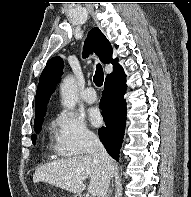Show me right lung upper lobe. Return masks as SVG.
<instances>
[{
	"instance_id": "cb5924a9",
	"label": "right lung upper lobe",
	"mask_w": 191,
	"mask_h": 197,
	"mask_svg": "<svg viewBox=\"0 0 191 197\" xmlns=\"http://www.w3.org/2000/svg\"><path fill=\"white\" fill-rule=\"evenodd\" d=\"M84 49L83 57H87L89 52H94L102 63H112L114 65L113 73L107 75L106 78L123 71L118 64V59L112 58V46L98 27L93 28L88 33ZM63 66V60L60 57H53L47 62L40 76L35 99L34 125L44 120L48 100L61 80Z\"/></svg>"
}]
</instances>
